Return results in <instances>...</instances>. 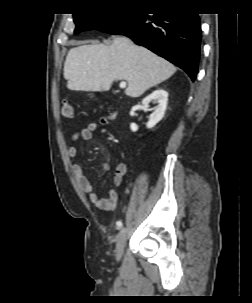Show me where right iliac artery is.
Wrapping results in <instances>:
<instances>
[{"instance_id":"1","label":"right iliac artery","mask_w":252,"mask_h":303,"mask_svg":"<svg viewBox=\"0 0 252 303\" xmlns=\"http://www.w3.org/2000/svg\"><path fill=\"white\" fill-rule=\"evenodd\" d=\"M117 226L119 227V228H121L122 226H123V223L121 222V221H117Z\"/></svg>"}]
</instances>
